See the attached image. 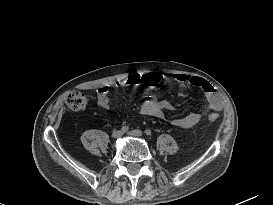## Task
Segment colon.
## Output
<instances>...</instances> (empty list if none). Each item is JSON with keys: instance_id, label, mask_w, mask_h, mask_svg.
Wrapping results in <instances>:
<instances>
[{"instance_id": "1", "label": "colon", "mask_w": 273, "mask_h": 205, "mask_svg": "<svg viewBox=\"0 0 273 205\" xmlns=\"http://www.w3.org/2000/svg\"><path fill=\"white\" fill-rule=\"evenodd\" d=\"M88 102V96L85 92L80 90L70 91L65 95L64 104L67 109L72 111L83 110ZM209 119L212 122H215L218 119V115L212 113L209 115Z\"/></svg>"}]
</instances>
